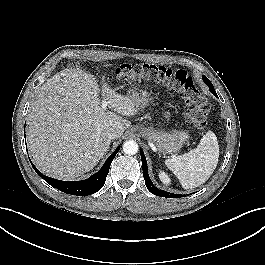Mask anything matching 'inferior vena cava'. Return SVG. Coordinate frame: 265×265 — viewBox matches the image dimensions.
Returning a JSON list of instances; mask_svg holds the SVG:
<instances>
[{
	"instance_id": "1",
	"label": "inferior vena cava",
	"mask_w": 265,
	"mask_h": 265,
	"mask_svg": "<svg viewBox=\"0 0 265 265\" xmlns=\"http://www.w3.org/2000/svg\"><path fill=\"white\" fill-rule=\"evenodd\" d=\"M106 136L109 139H115V138H117L118 135H117V132L115 130H109V131H107Z\"/></svg>"
}]
</instances>
